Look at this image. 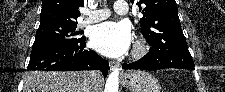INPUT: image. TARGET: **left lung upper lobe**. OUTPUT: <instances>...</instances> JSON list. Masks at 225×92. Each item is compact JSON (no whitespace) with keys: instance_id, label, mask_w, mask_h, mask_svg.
Segmentation results:
<instances>
[{"instance_id":"5c2ea615","label":"left lung upper lobe","mask_w":225,"mask_h":92,"mask_svg":"<svg viewBox=\"0 0 225 92\" xmlns=\"http://www.w3.org/2000/svg\"><path fill=\"white\" fill-rule=\"evenodd\" d=\"M140 6L142 34L154 50L188 49L175 0H131Z\"/></svg>"}]
</instances>
